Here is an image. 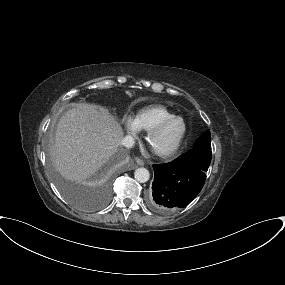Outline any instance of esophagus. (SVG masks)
<instances>
[{"label":"esophagus","mask_w":285,"mask_h":285,"mask_svg":"<svg viewBox=\"0 0 285 285\" xmlns=\"http://www.w3.org/2000/svg\"><path fill=\"white\" fill-rule=\"evenodd\" d=\"M135 161H136L137 165H139V166H143V165H144V161L141 160V159H136ZM135 168H136V166L132 165V166L130 167V170H133V169H135Z\"/></svg>","instance_id":"obj_1"}]
</instances>
